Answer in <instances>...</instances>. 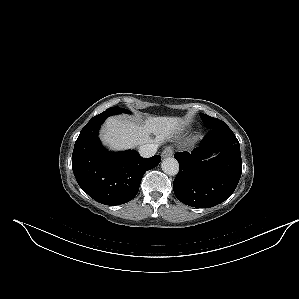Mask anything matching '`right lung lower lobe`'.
Here are the masks:
<instances>
[{
  "instance_id": "right-lung-lower-lobe-1",
  "label": "right lung lower lobe",
  "mask_w": 299,
  "mask_h": 299,
  "mask_svg": "<svg viewBox=\"0 0 299 299\" xmlns=\"http://www.w3.org/2000/svg\"><path fill=\"white\" fill-rule=\"evenodd\" d=\"M112 112L94 116L81 130L72 154V169L84 192L105 205H119L138 193L147 170L158 165L160 155L142 158L135 150L108 152L98 139V131Z\"/></svg>"
}]
</instances>
